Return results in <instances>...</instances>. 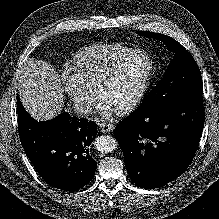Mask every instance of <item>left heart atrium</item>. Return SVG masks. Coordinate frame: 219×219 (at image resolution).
Listing matches in <instances>:
<instances>
[{
    "mask_svg": "<svg viewBox=\"0 0 219 219\" xmlns=\"http://www.w3.org/2000/svg\"><path fill=\"white\" fill-rule=\"evenodd\" d=\"M97 109L106 117L112 116L116 110V108L102 96L98 99Z\"/></svg>",
    "mask_w": 219,
    "mask_h": 219,
    "instance_id": "1",
    "label": "left heart atrium"
}]
</instances>
